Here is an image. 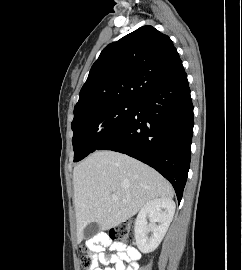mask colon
<instances>
[{
    "instance_id": "obj_1",
    "label": "colon",
    "mask_w": 242,
    "mask_h": 270,
    "mask_svg": "<svg viewBox=\"0 0 242 270\" xmlns=\"http://www.w3.org/2000/svg\"><path fill=\"white\" fill-rule=\"evenodd\" d=\"M110 240L132 242L135 237V225L133 221H125L117 226L115 229L105 234ZM84 255L80 258V263L85 270H90L92 260L88 254H86V247L83 248Z\"/></svg>"
}]
</instances>
